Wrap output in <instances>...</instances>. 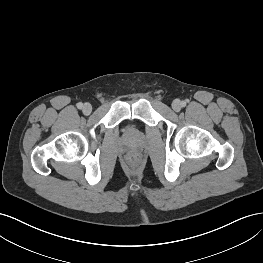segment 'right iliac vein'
<instances>
[{
  "label": "right iliac vein",
  "instance_id": "1",
  "mask_svg": "<svg viewBox=\"0 0 263 263\" xmlns=\"http://www.w3.org/2000/svg\"><path fill=\"white\" fill-rule=\"evenodd\" d=\"M82 112L85 115H89L92 112V106L90 103H85L82 107Z\"/></svg>",
  "mask_w": 263,
  "mask_h": 263
}]
</instances>
